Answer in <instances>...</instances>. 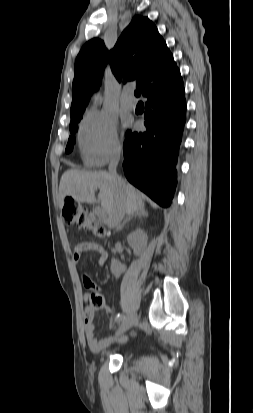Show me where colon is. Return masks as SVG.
Segmentation results:
<instances>
[{"mask_svg": "<svg viewBox=\"0 0 253 413\" xmlns=\"http://www.w3.org/2000/svg\"><path fill=\"white\" fill-rule=\"evenodd\" d=\"M62 214L64 220L69 223L76 225L81 228L90 229L92 228L97 236L104 235V230L101 227H94L90 221L86 211L74 200L67 199L64 203ZM88 299L89 304L93 309H100L104 306V298L100 291L96 288L94 284L89 287Z\"/></svg>", "mask_w": 253, "mask_h": 413, "instance_id": "1", "label": "colon"}]
</instances>
